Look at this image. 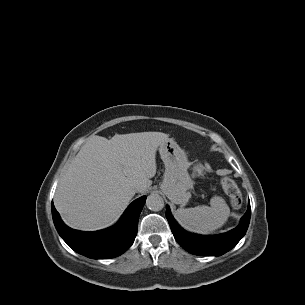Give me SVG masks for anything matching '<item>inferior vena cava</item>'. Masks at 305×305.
<instances>
[{
	"instance_id": "602c4592",
	"label": "inferior vena cava",
	"mask_w": 305,
	"mask_h": 305,
	"mask_svg": "<svg viewBox=\"0 0 305 305\" xmlns=\"http://www.w3.org/2000/svg\"><path fill=\"white\" fill-rule=\"evenodd\" d=\"M139 186L138 185H135L134 187H133V189L135 190V191H138L139 190Z\"/></svg>"
}]
</instances>
